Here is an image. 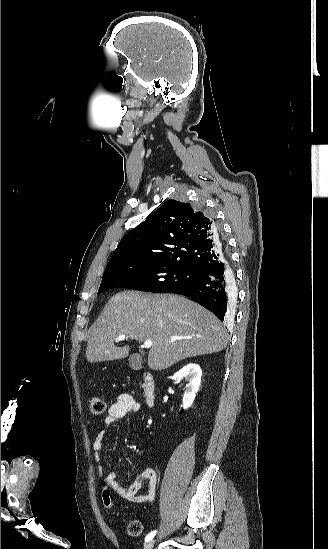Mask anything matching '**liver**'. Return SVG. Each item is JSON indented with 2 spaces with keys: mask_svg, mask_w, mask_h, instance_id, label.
Segmentation results:
<instances>
[{
  "mask_svg": "<svg viewBox=\"0 0 328 549\" xmlns=\"http://www.w3.org/2000/svg\"><path fill=\"white\" fill-rule=\"evenodd\" d=\"M119 335H126V341H152L148 367L153 371H163L188 357L218 353L228 341L223 323L202 305L182 295L141 291H121L106 303L89 329L88 363L129 357V345H114ZM172 337L182 339L169 343Z\"/></svg>",
  "mask_w": 328,
  "mask_h": 549,
  "instance_id": "liver-1",
  "label": "liver"
}]
</instances>
